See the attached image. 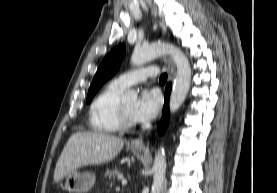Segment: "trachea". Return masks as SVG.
<instances>
[{
  "instance_id": "obj_1",
  "label": "trachea",
  "mask_w": 277,
  "mask_h": 193,
  "mask_svg": "<svg viewBox=\"0 0 277 193\" xmlns=\"http://www.w3.org/2000/svg\"><path fill=\"white\" fill-rule=\"evenodd\" d=\"M166 80H167V74L164 73L160 76L159 81H160V83H165Z\"/></svg>"
}]
</instances>
